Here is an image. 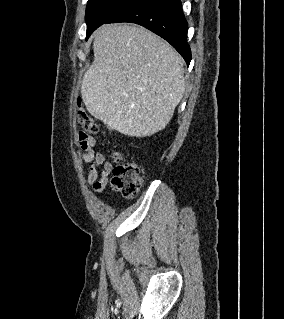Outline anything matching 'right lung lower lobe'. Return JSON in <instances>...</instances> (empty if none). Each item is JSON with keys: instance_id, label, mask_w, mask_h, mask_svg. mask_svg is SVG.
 <instances>
[{"instance_id": "right-lung-lower-lobe-1", "label": "right lung lower lobe", "mask_w": 284, "mask_h": 319, "mask_svg": "<svg viewBox=\"0 0 284 319\" xmlns=\"http://www.w3.org/2000/svg\"><path fill=\"white\" fill-rule=\"evenodd\" d=\"M116 22H132L146 27L168 41L189 65L188 24L180 0H134L105 23Z\"/></svg>"}]
</instances>
